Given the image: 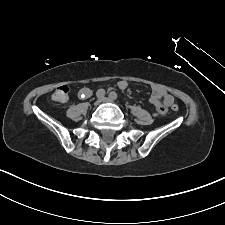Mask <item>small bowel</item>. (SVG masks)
Wrapping results in <instances>:
<instances>
[{
  "label": "small bowel",
  "instance_id": "obj_1",
  "mask_svg": "<svg viewBox=\"0 0 225 225\" xmlns=\"http://www.w3.org/2000/svg\"><path fill=\"white\" fill-rule=\"evenodd\" d=\"M128 86L126 80H120L117 82V87L119 89H125ZM79 96L82 98L89 97L91 95V90L89 88H81L79 90ZM151 103L159 111L160 107L170 106L174 102L173 96L161 87L154 86L151 91Z\"/></svg>",
  "mask_w": 225,
  "mask_h": 225
}]
</instances>
